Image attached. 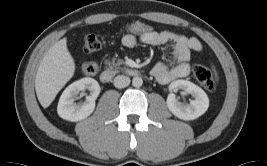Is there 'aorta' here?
Returning a JSON list of instances; mask_svg holds the SVG:
<instances>
[{
  "instance_id": "1",
  "label": "aorta",
  "mask_w": 267,
  "mask_h": 166,
  "mask_svg": "<svg viewBox=\"0 0 267 166\" xmlns=\"http://www.w3.org/2000/svg\"><path fill=\"white\" fill-rule=\"evenodd\" d=\"M142 84H143V80H142V78L141 77H134L133 79H132V85L134 86V87H141L142 86Z\"/></svg>"
}]
</instances>
